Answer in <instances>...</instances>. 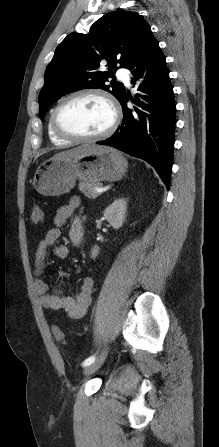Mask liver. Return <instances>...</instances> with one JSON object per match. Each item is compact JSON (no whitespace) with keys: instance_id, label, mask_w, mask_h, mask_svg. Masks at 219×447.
Returning a JSON list of instances; mask_svg holds the SVG:
<instances>
[{"instance_id":"6515ba94","label":"liver","mask_w":219,"mask_h":447,"mask_svg":"<svg viewBox=\"0 0 219 447\" xmlns=\"http://www.w3.org/2000/svg\"><path fill=\"white\" fill-rule=\"evenodd\" d=\"M95 145H82L76 148H72L66 151H62L57 153L56 155H54L52 158L53 159H66V158H77L80 157L82 155H85L89 152H91L94 149Z\"/></svg>"}]
</instances>
